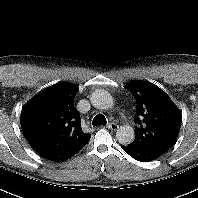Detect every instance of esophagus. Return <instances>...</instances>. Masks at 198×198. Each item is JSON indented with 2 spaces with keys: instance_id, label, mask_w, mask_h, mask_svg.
<instances>
[{
  "instance_id": "1",
  "label": "esophagus",
  "mask_w": 198,
  "mask_h": 198,
  "mask_svg": "<svg viewBox=\"0 0 198 198\" xmlns=\"http://www.w3.org/2000/svg\"><path fill=\"white\" fill-rule=\"evenodd\" d=\"M107 128L112 131H116L119 128V125L114 122H111L107 124Z\"/></svg>"
}]
</instances>
